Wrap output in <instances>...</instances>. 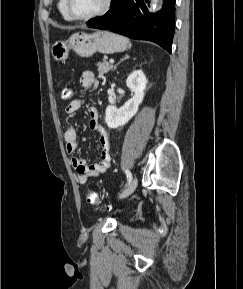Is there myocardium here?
<instances>
[{"mask_svg": "<svg viewBox=\"0 0 243 289\" xmlns=\"http://www.w3.org/2000/svg\"><path fill=\"white\" fill-rule=\"evenodd\" d=\"M111 6H112V0H105L103 7L99 11H97L96 13L88 15V16H76L71 11L70 0H65L66 12H67L68 16L72 20H75V21H89L92 19L99 18V17L105 15L110 10Z\"/></svg>", "mask_w": 243, "mask_h": 289, "instance_id": "myocardium-1", "label": "myocardium"}]
</instances>
